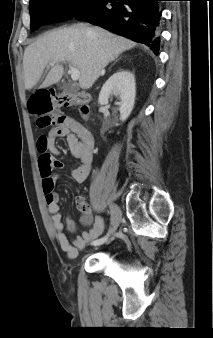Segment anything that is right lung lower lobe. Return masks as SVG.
Masks as SVG:
<instances>
[{
    "instance_id": "98d812e1",
    "label": "right lung lower lobe",
    "mask_w": 213,
    "mask_h": 338,
    "mask_svg": "<svg viewBox=\"0 0 213 338\" xmlns=\"http://www.w3.org/2000/svg\"><path fill=\"white\" fill-rule=\"evenodd\" d=\"M160 1L166 0H96L74 18L144 43L158 54Z\"/></svg>"
}]
</instances>
